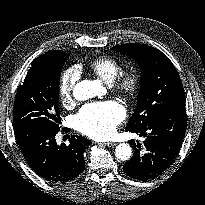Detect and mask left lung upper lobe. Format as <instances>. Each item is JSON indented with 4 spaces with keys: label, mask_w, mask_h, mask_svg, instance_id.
Listing matches in <instances>:
<instances>
[{
    "label": "left lung upper lobe",
    "mask_w": 205,
    "mask_h": 205,
    "mask_svg": "<svg viewBox=\"0 0 205 205\" xmlns=\"http://www.w3.org/2000/svg\"><path fill=\"white\" fill-rule=\"evenodd\" d=\"M112 50L134 58L142 70L137 107L125 130L140 129L167 111L185 107L180 77L164 53L140 43L118 45Z\"/></svg>",
    "instance_id": "left-lung-upper-lobe-1"
}]
</instances>
